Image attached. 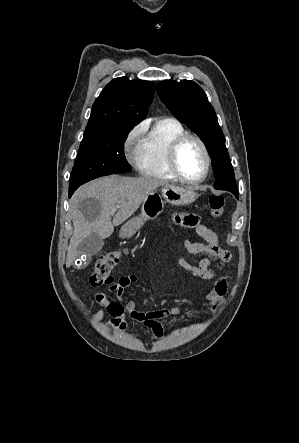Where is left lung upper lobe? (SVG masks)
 Here are the masks:
<instances>
[{"mask_svg": "<svg viewBox=\"0 0 299 443\" xmlns=\"http://www.w3.org/2000/svg\"><path fill=\"white\" fill-rule=\"evenodd\" d=\"M156 90L171 113L195 132L206 145L216 178L214 188L238 191L224 134L202 88L190 80H166L159 82Z\"/></svg>", "mask_w": 299, "mask_h": 443, "instance_id": "1", "label": "left lung upper lobe"}]
</instances>
